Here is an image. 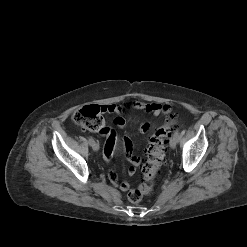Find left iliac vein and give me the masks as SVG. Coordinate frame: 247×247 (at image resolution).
<instances>
[{"label":"left iliac vein","mask_w":247,"mask_h":247,"mask_svg":"<svg viewBox=\"0 0 247 247\" xmlns=\"http://www.w3.org/2000/svg\"><path fill=\"white\" fill-rule=\"evenodd\" d=\"M177 142H178V138L175 135H173L170 139V147L172 149L176 148Z\"/></svg>","instance_id":"4c4485c4"}]
</instances>
